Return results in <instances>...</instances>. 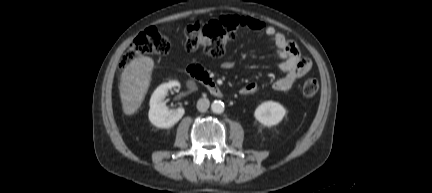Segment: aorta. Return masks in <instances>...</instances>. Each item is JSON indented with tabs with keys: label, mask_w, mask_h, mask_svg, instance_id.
<instances>
[{
	"label": "aorta",
	"mask_w": 432,
	"mask_h": 193,
	"mask_svg": "<svg viewBox=\"0 0 432 193\" xmlns=\"http://www.w3.org/2000/svg\"><path fill=\"white\" fill-rule=\"evenodd\" d=\"M225 106L224 103L222 101H214L211 105V110L212 112L216 113V114H221L224 112Z\"/></svg>",
	"instance_id": "aorta-1"
}]
</instances>
